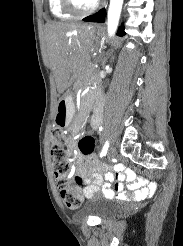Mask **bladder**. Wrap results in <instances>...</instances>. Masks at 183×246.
<instances>
[{"instance_id": "bladder-1", "label": "bladder", "mask_w": 183, "mask_h": 246, "mask_svg": "<svg viewBox=\"0 0 183 246\" xmlns=\"http://www.w3.org/2000/svg\"><path fill=\"white\" fill-rule=\"evenodd\" d=\"M118 209L119 205L115 201L102 196H95L84 204L80 214L106 219L113 216Z\"/></svg>"}]
</instances>
